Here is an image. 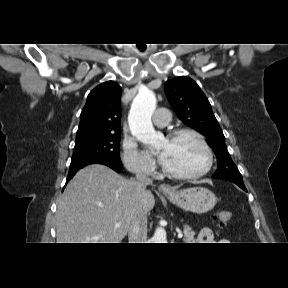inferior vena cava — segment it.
I'll return each instance as SVG.
<instances>
[{
    "label": "inferior vena cava",
    "mask_w": 288,
    "mask_h": 288,
    "mask_svg": "<svg viewBox=\"0 0 288 288\" xmlns=\"http://www.w3.org/2000/svg\"><path fill=\"white\" fill-rule=\"evenodd\" d=\"M136 180L143 188L152 184V180L144 173L136 174ZM129 243H146L147 240V215L142 214L134 219L128 234Z\"/></svg>",
    "instance_id": "1"
}]
</instances>
